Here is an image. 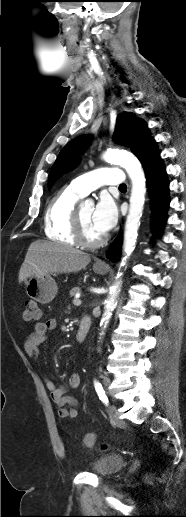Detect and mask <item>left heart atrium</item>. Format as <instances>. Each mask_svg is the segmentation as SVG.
<instances>
[{"instance_id": "left-heart-atrium-1", "label": "left heart atrium", "mask_w": 186, "mask_h": 517, "mask_svg": "<svg viewBox=\"0 0 186 517\" xmlns=\"http://www.w3.org/2000/svg\"><path fill=\"white\" fill-rule=\"evenodd\" d=\"M118 218L117 205L107 194H103L92 214V223L97 231L104 234L116 224Z\"/></svg>"}]
</instances>
